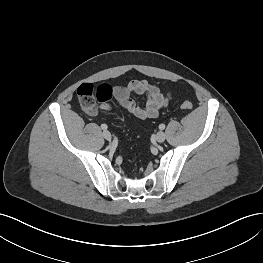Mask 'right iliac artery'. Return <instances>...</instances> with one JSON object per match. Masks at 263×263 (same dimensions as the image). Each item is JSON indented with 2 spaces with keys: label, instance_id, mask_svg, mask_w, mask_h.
<instances>
[{
  "label": "right iliac artery",
  "instance_id": "82829eb1",
  "mask_svg": "<svg viewBox=\"0 0 263 263\" xmlns=\"http://www.w3.org/2000/svg\"><path fill=\"white\" fill-rule=\"evenodd\" d=\"M101 128H102L103 130H106L108 127H107L106 124H102V125H101Z\"/></svg>",
  "mask_w": 263,
  "mask_h": 263
}]
</instances>
